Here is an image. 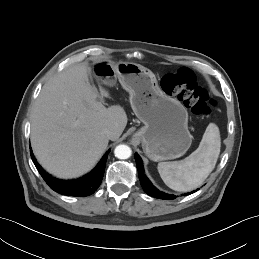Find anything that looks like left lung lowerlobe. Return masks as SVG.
<instances>
[{
	"mask_svg": "<svg viewBox=\"0 0 259 259\" xmlns=\"http://www.w3.org/2000/svg\"><path fill=\"white\" fill-rule=\"evenodd\" d=\"M135 160L137 163L138 175H139L142 188L148 195L159 199H165V200L175 199V195L166 194L162 191H159L155 186L152 185V183L144 174L142 160L138 154L135 155ZM194 192L195 191H193L192 193ZM188 194H191V193H187L185 195H188Z\"/></svg>",
	"mask_w": 259,
	"mask_h": 259,
	"instance_id": "left-lung-lower-lobe-1",
	"label": "left lung lower lobe"
}]
</instances>
